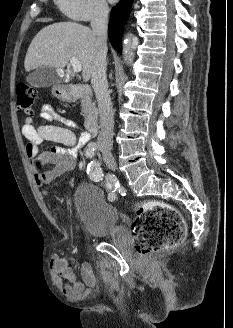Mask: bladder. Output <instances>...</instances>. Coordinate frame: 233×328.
I'll return each instance as SVG.
<instances>
[{
	"label": "bladder",
	"instance_id": "bladder-1",
	"mask_svg": "<svg viewBox=\"0 0 233 328\" xmlns=\"http://www.w3.org/2000/svg\"><path fill=\"white\" fill-rule=\"evenodd\" d=\"M73 202L86 233L92 237L112 236L119 228V212L109 203L102 190L90 183L76 187Z\"/></svg>",
	"mask_w": 233,
	"mask_h": 328
}]
</instances>
